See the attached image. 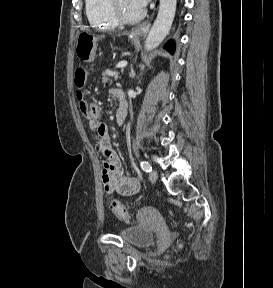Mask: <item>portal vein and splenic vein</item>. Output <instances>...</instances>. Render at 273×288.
<instances>
[{
  "mask_svg": "<svg viewBox=\"0 0 273 288\" xmlns=\"http://www.w3.org/2000/svg\"><path fill=\"white\" fill-rule=\"evenodd\" d=\"M127 65V61H122L116 65V67H125Z\"/></svg>",
  "mask_w": 273,
  "mask_h": 288,
  "instance_id": "portal-vein-and-splenic-vein-1",
  "label": "portal vein and splenic vein"
}]
</instances>
